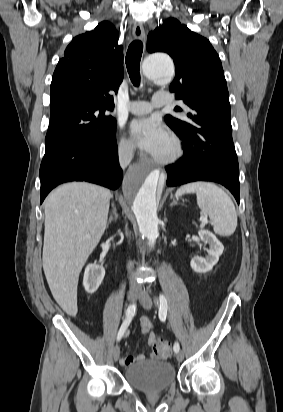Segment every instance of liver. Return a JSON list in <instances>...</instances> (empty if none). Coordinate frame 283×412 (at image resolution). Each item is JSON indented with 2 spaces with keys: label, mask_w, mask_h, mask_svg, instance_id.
Returning a JSON list of instances; mask_svg holds the SVG:
<instances>
[{
  "label": "liver",
  "mask_w": 283,
  "mask_h": 412,
  "mask_svg": "<svg viewBox=\"0 0 283 412\" xmlns=\"http://www.w3.org/2000/svg\"><path fill=\"white\" fill-rule=\"evenodd\" d=\"M111 197L103 187L72 182L45 199L43 270L54 299L71 316L78 310L79 274L104 234Z\"/></svg>",
  "instance_id": "obj_1"
}]
</instances>
